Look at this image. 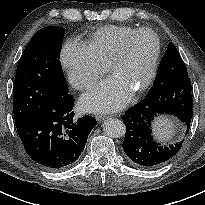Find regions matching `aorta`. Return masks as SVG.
<instances>
[{"mask_svg":"<svg viewBox=\"0 0 205 205\" xmlns=\"http://www.w3.org/2000/svg\"><path fill=\"white\" fill-rule=\"evenodd\" d=\"M103 131L112 138H121L125 135L126 126L119 119H109L104 122Z\"/></svg>","mask_w":205,"mask_h":205,"instance_id":"obj_1","label":"aorta"}]
</instances>
